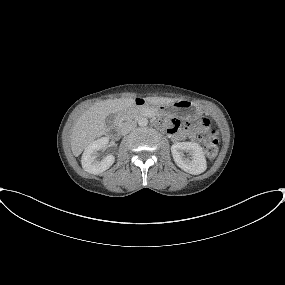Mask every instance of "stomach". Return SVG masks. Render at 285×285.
Returning <instances> with one entry per match:
<instances>
[{"label": "stomach", "instance_id": "stomach-1", "mask_svg": "<svg viewBox=\"0 0 285 285\" xmlns=\"http://www.w3.org/2000/svg\"><path fill=\"white\" fill-rule=\"evenodd\" d=\"M157 109L161 113L189 119H196L201 114L200 108L194 102L186 99L175 101L170 105H158Z\"/></svg>", "mask_w": 285, "mask_h": 285}]
</instances>
